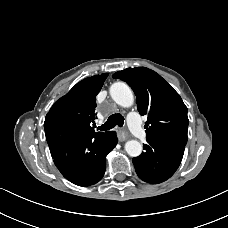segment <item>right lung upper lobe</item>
Instances as JSON below:
<instances>
[{
  "label": "right lung upper lobe",
  "mask_w": 228,
  "mask_h": 228,
  "mask_svg": "<svg viewBox=\"0 0 228 228\" xmlns=\"http://www.w3.org/2000/svg\"><path fill=\"white\" fill-rule=\"evenodd\" d=\"M108 74L94 75L77 83L65 96L57 100L46 115L44 128L48 136L54 131L70 129L73 136L95 132L96 96Z\"/></svg>",
  "instance_id": "right-lung-upper-lobe-1"
}]
</instances>
